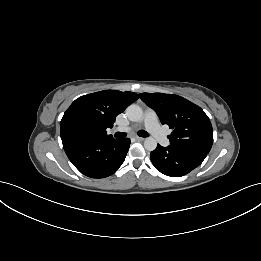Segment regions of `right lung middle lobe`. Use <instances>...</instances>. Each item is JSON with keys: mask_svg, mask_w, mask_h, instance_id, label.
<instances>
[{"mask_svg": "<svg viewBox=\"0 0 261 261\" xmlns=\"http://www.w3.org/2000/svg\"><path fill=\"white\" fill-rule=\"evenodd\" d=\"M92 138L90 126L83 121L68 124L61 133V139H87Z\"/></svg>", "mask_w": 261, "mask_h": 261, "instance_id": "dd1d6c3e", "label": "right lung middle lobe"}]
</instances>
